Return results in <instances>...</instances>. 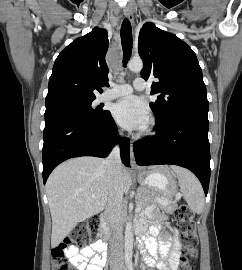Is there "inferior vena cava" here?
Returning a JSON list of instances; mask_svg holds the SVG:
<instances>
[{"instance_id":"inferior-vena-cava-1","label":"inferior vena cava","mask_w":242,"mask_h":270,"mask_svg":"<svg viewBox=\"0 0 242 270\" xmlns=\"http://www.w3.org/2000/svg\"><path fill=\"white\" fill-rule=\"evenodd\" d=\"M107 173L110 179V191L108 202L105 208L106 219L112 229L111 240V265L119 270L123 268V236H122V201H123V183H122V164L120 159V149L116 146L108 158L105 160Z\"/></svg>"}]
</instances>
